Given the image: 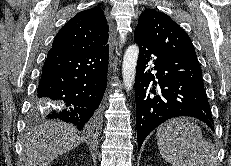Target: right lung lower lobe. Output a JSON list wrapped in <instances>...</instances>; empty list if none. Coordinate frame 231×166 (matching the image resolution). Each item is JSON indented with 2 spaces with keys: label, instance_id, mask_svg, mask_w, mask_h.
<instances>
[{
  "label": "right lung lower lobe",
  "instance_id": "1",
  "mask_svg": "<svg viewBox=\"0 0 231 166\" xmlns=\"http://www.w3.org/2000/svg\"><path fill=\"white\" fill-rule=\"evenodd\" d=\"M109 45L95 51L50 49L33 111L72 123L87 134L97 131L107 84Z\"/></svg>",
  "mask_w": 231,
  "mask_h": 166
}]
</instances>
